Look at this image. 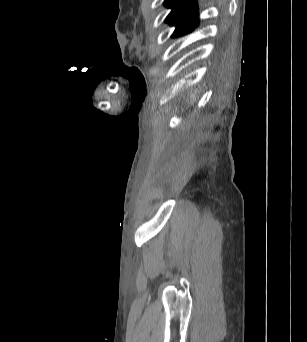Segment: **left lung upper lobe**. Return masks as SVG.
<instances>
[{
  "mask_svg": "<svg viewBox=\"0 0 307 342\" xmlns=\"http://www.w3.org/2000/svg\"><path fill=\"white\" fill-rule=\"evenodd\" d=\"M164 5L172 8L165 22L176 26L172 37L191 33L199 24V8L196 0H165Z\"/></svg>",
  "mask_w": 307,
  "mask_h": 342,
  "instance_id": "left-lung-upper-lobe-1",
  "label": "left lung upper lobe"
}]
</instances>
